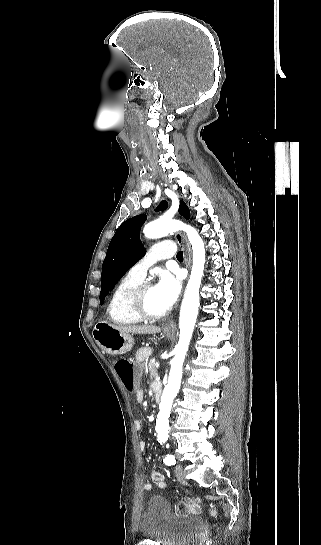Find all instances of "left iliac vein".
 <instances>
[{
	"mask_svg": "<svg viewBox=\"0 0 321 545\" xmlns=\"http://www.w3.org/2000/svg\"><path fill=\"white\" fill-rule=\"evenodd\" d=\"M175 476L178 481L184 482L185 481V472L181 465H177L175 467Z\"/></svg>",
	"mask_w": 321,
	"mask_h": 545,
	"instance_id": "left-iliac-vein-1",
	"label": "left iliac vein"
}]
</instances>
